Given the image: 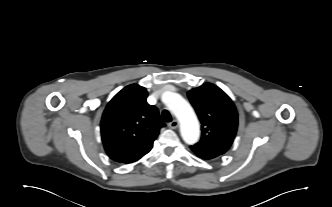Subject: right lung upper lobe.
<instances>
[{
	"instance_id": "cb5924a9",
	"label": "right lung upper lobe",
	"mask_w": 332,
	"mask_h": 207,
	"mask_svg": "<svg viewBox=\"0 0 332 207\" xmlns=\"http://www.w3.org/2000/svg\"><path fill=\"white\" fill-rule=\"evenodd\" d=\"M147 90L131 84L108 103L101 120V137L111 159L131 163L147 154L162 122L158 109L146 101Z\"/></svg>"
}]
</instances>
